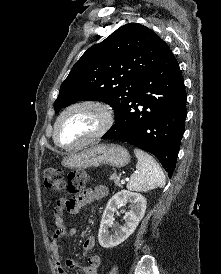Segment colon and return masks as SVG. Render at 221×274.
Here are the masks:
<instances>
[{
  "instance_id": "obj_1",
  "label": "colon",
  "mask_w": 221,
  "mask_h": 274,
  "mask_svg": "<svg viewBox=\"0 0 221 274\" xmlns=\"http://www.w3.org/2000/svg\"><path fill=\"white\" fill-rule=\"evenodd\" d=\"M43 179L46 188L53 192L65 190L75 198L84 188L86 175L83 172H72L64 177L60 169L47 167L43 170Z\"/></svg>"
}]
</instances>
